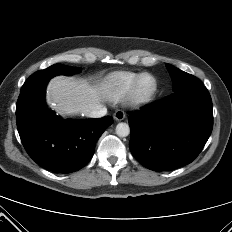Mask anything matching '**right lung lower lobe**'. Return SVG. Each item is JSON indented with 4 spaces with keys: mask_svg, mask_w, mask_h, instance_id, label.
<instances>
[{
    "mask_svg": "<svg viewBox=\"0 0 232 232\" xmlns=\"http://www.w3.org/2000/svg\"><path fill=\"white\" fill-rule=\"evenodd\" d=\"M47 82L21 89L16 105L18 132L37 164L53 172L71 173L91 160L97 140L113 119H61L44 104Z\"/></svg>",
    "mask_w": 232,
    "mask_h": 232,
    "instance_id": "obj_1",
    "label": "right lung lower lobe"
}]
</instances>
